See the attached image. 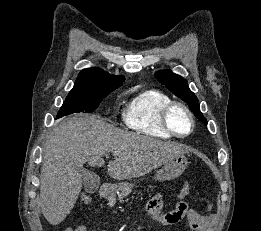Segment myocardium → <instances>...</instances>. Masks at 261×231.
I'll return each mask as SVG.
<instances>
[{"label":"myocardium","instance_id":"myocardium-1","mask_svg":"<svg viewBox=\"0 0 261 231\" xmlns=\"http://www.w3.org/2000/svg\"><path fill=\"white\" fill-rule=\"evenodd\" d=\"M175 108H181L182 110H184L190 119L191 128H190L189 132L186 134L177 133L171 126L170 114L173 111V109H175ZM161 124H162V127L164 128V130L167 133H169L171 136L176 137V138H186L194 131L195 118H194V115H193L191 109L186 104H184L180 101H172L169 104H167L162 110Z\"/></svg>","mask_w":261,"mask_h":231}]
</instances>
